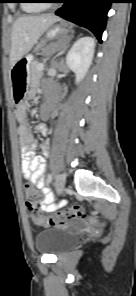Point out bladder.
<instances>
[{
  "label": "bladder",
  "instance_id": "bladder-1",
  "mask_svg": "<svg viewBox=\"0 0 136 296\" xmlns=\"http://www.w3.org/2000/svg\"><path fill=\"white\" fill-rule=\"evenodd\" d=\"M77 241V234L65 228L51 227L36 235V248L40 253L57 255L72 247Z\"/></svg>",
  "mask_w": 136,
  "mask_h": 296
}]
</instances>
